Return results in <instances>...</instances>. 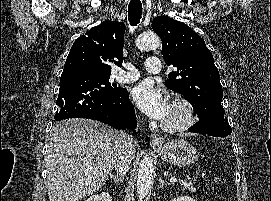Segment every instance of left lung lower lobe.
<instances>
[{
  "instance_id": "0a47b994",
  "label": "left lung lower lobe",
  "mask_w": 271,
  "mask_h": 201,
  "mask_svg": "<svg viewBox=\"0 0 271 201\" xmlns=\"http://www.w3.org/2000/svg\"><path fill=\"white\" fill-rule=\"evenodd\" d=\"M188 131L193 132V133H200V134H204L205 133V130L200 129V128H195V127L189 128Z\"/></svg>"
}]
</instances>
